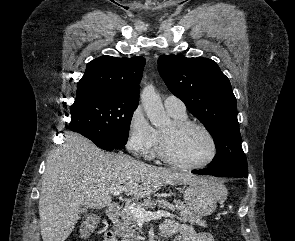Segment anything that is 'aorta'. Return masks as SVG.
I'll list each match as a JSON object with an SVG mask.
<instances>
[{"label": "aorta", "mask_w": 295, "mask_h": 241, "mask_svg": "<svg viewBox=\"0 0 295 241\" xmlns=\"http://www.w3.org/2000/svg\"><path fill=\"white\" fill-rule=\"evenodd\" d=\"M140 99L145 113L153 126L160 128L170 124V117L166 114L161 98L153 85L144 87Z\"/></svg>", "instance_id": "aorta-1"}]
</instances>
